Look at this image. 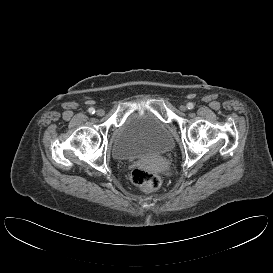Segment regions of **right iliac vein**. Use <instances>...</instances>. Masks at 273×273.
I'll use <instances>...</instances> for the list:
<instances>
[{
  "label": "right iliac vein",
  "instance_id": "1",
  "mask_svg": "<svg viewBox=\"0 0 273 273\" xmlns=\"http://www.w3.org/2000/svg\"><path fill=\"white\" fill-rule=\"evenodd\" d=\"M96 113H97L98 116H103L105 112H104L103 109H98V110L96 111Z\"/></svg>",
  "mask_w": 273,
  "mask_h": 273
}]
</instances>
